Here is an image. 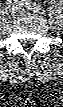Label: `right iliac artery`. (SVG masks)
<instances>
[{"label": "right iliac artery", "instance_id": "82829eb1", "mask_svg": "<svg viewBox=\"0 0 63 107\" xmlns=\"http://www.w3.org/2000/svg\"><path fill=\"white\" fill-rule=\"evenodd\" d=\"M7 5H8L9 7H11V5L13 6V2H12L11 0H7ZM14 6H15V5H14ZM16 6H21V5L16 4Z\"/></svg>", "mask_w": 63, "mask_h": 107}]
</instances>
